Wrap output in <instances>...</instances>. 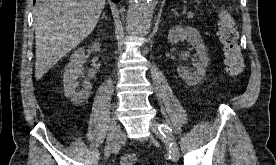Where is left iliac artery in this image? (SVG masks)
<instances>
[{
    "instance_id": "obj_1",
    "label": "left iliac artery",
    "mask_w": 276,
    "mask_h": 165,
    "mask_svg": "<svg viewBox=\"0 0 276 165\" xmlns=\"http://www.w3.org/2000/svg\"><path fill=\"white\" fill-rule=\"evenodd\" d=\"M159 131L163 134V136H167L169 133H171V129L164 125V124H161L159 125Z\"/></svg>"
}]
</instances>
